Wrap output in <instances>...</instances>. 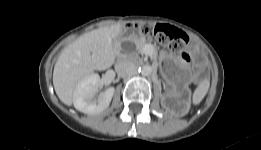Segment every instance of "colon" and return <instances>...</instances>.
<instances>
[{"label": "colon", "mask_w": 261, "mask_h": 150, "mask_svg": "<svg viewBox=\"0 0 261 150\" xmlns=\"http://www.w3.org/2000/svg\"><path fill=\"white\" fill-rule=\"evenodd\" d=\"M140 29L143 34L154 37L163 48L177 53L182 63L187 64L190 61L188 53L184 51L188 37L181 30L164 24H143Z\"/></svg>", "instance_id": "obj_1"}]
</instances>
